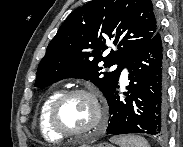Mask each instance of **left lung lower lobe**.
Here are the masks:
<instances>
[{
	"mask_svg": "<svg viewBox=\"0 0 183 147\" xmlns=\"http://www.w3.org/2000/svg\"><path fill=\"white\" fill-rule=\"evenodd\" d=\"M129 86L120 101L119 85L107 99L110 110L108 134L166 132V64L159 31L124 63Z\"/></svg>",
	"mask_w": 183,
	"mask_h": 147,
	"instance_id": "left-lung-lower-lobe-1",
	"label": "left lung lower lobe"
}]
</instances>
